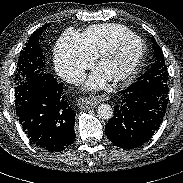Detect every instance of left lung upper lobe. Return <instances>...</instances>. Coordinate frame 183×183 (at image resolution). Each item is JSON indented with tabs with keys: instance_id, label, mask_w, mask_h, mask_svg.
<instances>
[{
	"instance_id": "1",
	"label": "left lung upper lobe",
	"mask_w": 183,
	"mask_h": 183,
	"mask_svg": "<svg viewBox=\"0 0 183 183\" xmlns=\"http://www.w3.org/2000/svg\"><path fill=\"white\" fill-rule=\"evenodd\" d=\"M153 45L156 58L153 67L144 73L140 79L132 84L130 87L134 90L145 91L152 94H156L158 96L167 97L168 94V72L167 67L165 65L164 56L161 51V48L157 45L154 38Z\"/></svg>"
}]
</instances>
